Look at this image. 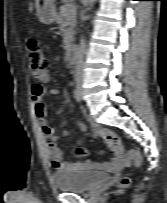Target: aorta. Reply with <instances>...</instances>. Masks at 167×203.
I'll list each match as a JSON object with an SVG mask.
<instances>
[{"mask_svg": "<svg viewBox=\"0 0 167 203\" xmlns=\"http://www.w3.org/2000/svg\"><path fill=\"white\" fill-rule=\"evenodd\" d=\"M95 0H89L90 7L94 4Z\"/></svg>", "mask_w": 167, "mask_h": 203, "instance_id": "obj_1", "label": "aorta"}]
</instances>
